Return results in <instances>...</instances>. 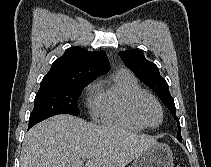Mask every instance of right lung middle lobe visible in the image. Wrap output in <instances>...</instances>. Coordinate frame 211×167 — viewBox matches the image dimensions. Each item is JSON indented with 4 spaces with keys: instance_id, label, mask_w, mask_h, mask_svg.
Instances as JSON below:
<instances>
[{
    "instance_id": "dd1d6c3e",
    "label": "right lung middle lobe",
    "mask_w": 211,
    "mask_h": 167,
    "mask_svg": "<svg viewBox=\"0 0 211 167\" xmlns=\"http://www.w3.org/2000/svg\"><path fill=\"white\" fill-rule=\"evenodd\" d=\"M91 81L92 79L66 85H40L30 114L29 127L57 114L79 115L77 100L83 88Z\"/></svg>"
}]
</instances>
